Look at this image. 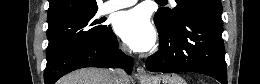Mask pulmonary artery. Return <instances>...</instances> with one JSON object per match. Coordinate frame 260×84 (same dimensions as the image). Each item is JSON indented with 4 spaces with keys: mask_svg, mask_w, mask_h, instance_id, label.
<instances>
[{
    "mask_svg": "<svg viewBox=\"0 0 260 84\" xmlns=\"http://www.w3.org/2000/svg\"><path fill=\"white\" fill-rule=\"evenodd\" d=\"M137 1L135 0H110L107 1L105 3H103L100 8L99 11L102 14H107V13H111L123 8H127L130 7L132 5H134ZM172 4H175V1L172 0L171 1Z\"/></svg>",
    "mask_w": 260,
    "mask_h": 84,
    "instance_id": "e3ab8cb5",
    "label": "pulmonary artery"
}]
</instances>
